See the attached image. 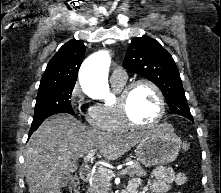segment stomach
<instances>
[{
	"label": "stomach",
	"mask_w": 221,
	"mask_h": 193,
	"mask_svg": "<svg viewBox=\"0 0 221 193\" xmlns=\"http://www.w3.org/2000/svg\"><path fill=\"white\" fill-rule=\"evenodd\" d=\"M180 147L181 140L174 133L173 128L163 123L139 142L136 156L145 166L164 165L177 158Z\"/></svg>",
	"instance_id": "0dacf381"
}]
</instances>
